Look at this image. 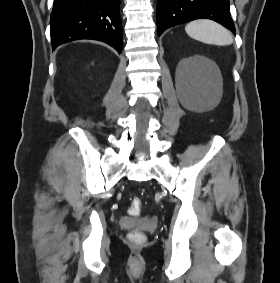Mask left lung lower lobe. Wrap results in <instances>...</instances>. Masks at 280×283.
<instances>
[{
    "instance_id": "1",
    "label": "left lung lower lobe",
    "mask_w": 280,
    "mask_h": 283,
    "mask_svg": "<svg viewBox=\"0 0 280 283\" xmlns=\"http://www.w3.org/2000/svg\"><path fill=\"white\" fill-rule=\"evenodd\" d=\"M211 19L235 34L229 0H157V31L195 19Z\"/></svg>"
}]
</instances>
